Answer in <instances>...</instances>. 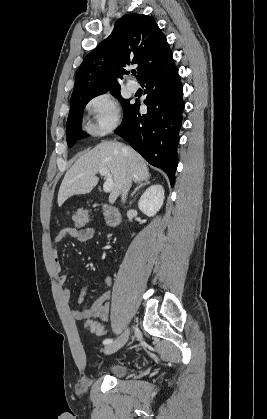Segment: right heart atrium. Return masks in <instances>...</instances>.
<instances>
[{"label":"right heart atrium","mask_w":267,"mask_h":419,"mask_svg":"<svg viewBox=\"0 0 267 419\" xmlns=\"http://www.w3.org/2000/svg\"><path fill=\"white\" fill-rule=\"evenodd\" d=\"M87 111L92 117L88 132L94 136L107 135L121 122L119 104L109 93H101L90 99L87 103Z\"/></svg>","instance_id":"right-heart-atrium-1"}]
</instances>
